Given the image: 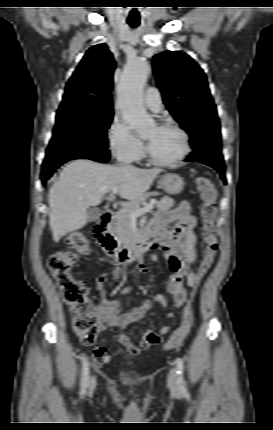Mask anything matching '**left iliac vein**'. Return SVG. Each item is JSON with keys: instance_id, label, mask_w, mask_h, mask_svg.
<instances>
[{"instance_id": "left-iliac-vein-1", "label": "left iliac vein", "mask_w": 273, "mask_h": 430, "mask_svg": "<svg viewBox=\"0 0 273 430\" xmlns=\"http://www.w3.org/2000/svg\"><path fill=\"white\" fill-rule=\"evenodd\" d=\"M168 386L173 389L176 390L177 386H178V382H177V371L175 368L171 369V371L169 372L168 375Z\"/></svg>"}]
</instances>
